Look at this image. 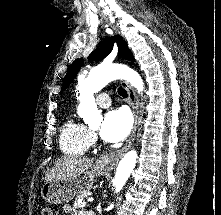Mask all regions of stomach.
<instances>
[{"label": "stomach", "instance_id": "stomach-1", "mask_svg": "<svg viewBox=\"0 0 221 215\" xmlns=\"http://www.w3.org/2000/svg\"><path fill=\"white\" fill-rule=\"evenodd\" d=\"M108 168L96 162L90 169L67 180L54 179L45 182L41 189L42 198L50 204H62L71 201L84 191H89L96 178L105 173Z\"/></svg>", "mask_w": 221, "mask_h": 215}]
</instances>
